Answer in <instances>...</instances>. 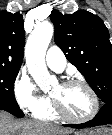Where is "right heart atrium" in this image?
Instances as JSON below:
<instances>
[{
	"label": "right heart atrium",
	"mask_w": 112,
	"mask_h": 135,
	"mask_svg": "<svg viewBox=\"0 0 112 135\" xmlns=\"http://www.w3.org/2000/svg\"><path fill=\"white\" fill-rule=\"evenodd\" d=\"M13 91L18 105L27 112L35 114L49 104V98L38 89L24 72L17 75Z\"/></svg>",
	"instance_id": "obj_1"
}]
</instances>
